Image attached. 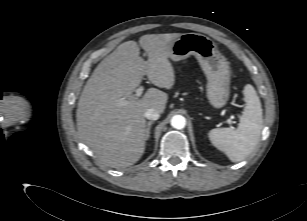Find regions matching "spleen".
I'll return each mask as SVG.
<instances>
[{"instance_id":"spleen-1","label":"spleen","mask_w":307,"mask_h":221,"mask_svg":"<svg viewBox=\"0 0 307 221\" xmlns=\"http://www.w3.org/2000/svg\"><path fill=\"white\" fill-rule=\"evenodd\" d=\"M243 93L246 106L238 127L215 128L208 133L211 143L232 162H240L251 154L259 142L263 125L262 107L256 90L247 84Z\"/></svg>"}]
</instances>
